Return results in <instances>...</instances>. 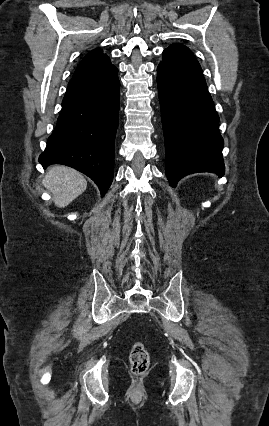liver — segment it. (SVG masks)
I'll return each mask as SVG.
<instances>
[{
  "label": "liver",
  "instance_id": "1",
  "mask_svg": "<svg viewBox=\"0 0 269 426\" xmlns=\"http://www.w3.org/2000/svg\"><path fill=\"white\" fill-rule=\"evenodd\" d=\"M43 185L53 195L59 208L68 206L87 188V181L78 171L66 166H52L48 169Z\"/></svg>",
  "mask_w": 269,
  "mask_h": 426
}]
</instances>
